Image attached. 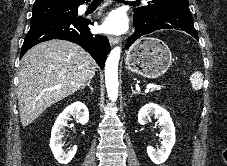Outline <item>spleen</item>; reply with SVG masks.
<instances>
[{"label":"spleen","instance_id":"obj_1","mask_svg":"<svg viewBox=\"0 0 227 166\" xmlns=\"http://www.w3.org/2000/svg\"><path fill=\"white\" fill-rule=\"evenodd\" d=\"M191 85L194 90H200L203 86V75L201 72L197 71L193 73L190 77Z\"/></svg>","mask_w":227,"mask_h":166}]
</instances>
